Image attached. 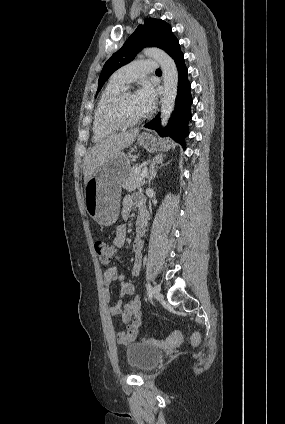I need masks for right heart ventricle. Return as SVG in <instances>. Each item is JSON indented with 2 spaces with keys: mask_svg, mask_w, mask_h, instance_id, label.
Returning <instances> with one entry per match:
<instances>
[{
  "mask_svg": "<svg viewBox=\"0 0 285 424\" xmlns=\"http://www.w3.org/2000/svg\"><path fill=\"white\" fill-rule=\"evenodd\" d=\"M124 88V84L112 78L102 91L93 115V135L96 141L102 140L119 130L118 128L107 127L102 123V112L107 103Z\"/></svg>",
  "mask_w": 285,
  "mask_h": 424,
  "instance_id": "obj_1",
  "label": "right heart ventricle"
}]
</instances>
